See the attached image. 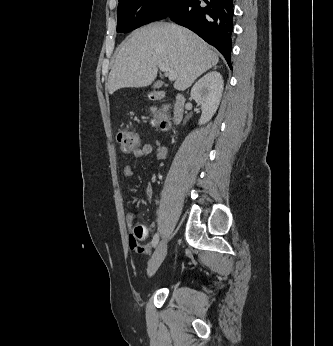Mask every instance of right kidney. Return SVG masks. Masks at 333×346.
Returning a JSON list of instances; mask_svg holds the SVG:
<instances>
[{"mask_svg":"<svg viewBox=\"0 0 333 346\" xmlns=\"http://www.w3.org/2000/svg\"><path fill=\"white\" fill-rule=\"evenodd\" d=\"M224 88L222 75L213 71L199 79L191 89V98L201 105L199 125L211 120L218 109Z\"/></svg>","mask_w":333,"mask_h":346,"instance_id":"obj_1","label":"right kidney"}]
</instances>
